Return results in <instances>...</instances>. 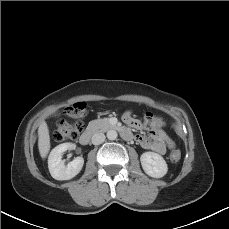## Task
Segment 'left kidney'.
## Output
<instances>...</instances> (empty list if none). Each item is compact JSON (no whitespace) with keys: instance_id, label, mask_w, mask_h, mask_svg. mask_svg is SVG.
<instances>
[{"instance_id":"5707ae66","label":"left kidney","mask_w":229,"mask_h":229,"mask_svg":"<svg viewBox=\"0 0 229 229\" xmlns=\"http://www.w3.org/2000/svg\"><path fill=\"white\" fill-rule=\"evenodd\" d=\"M141 165L147 175L153 178H161L168 171L164 158L155 152H145L140 157Z\"/></svg>"}]
</instances>
